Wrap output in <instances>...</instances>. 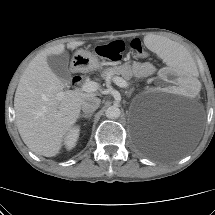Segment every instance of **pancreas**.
Wrapping results in <instances>:
<instances>
[{"mask_svg": "<svg viewBox=\"0 0 215 215\" xmlns=\"http://www.w3.org/2000/svg\"><path fill=\"white\" fill-rule=\"evenodd\" d=\"M121 75L125 80H130L133 76V69L129 63H125L120 66L110 67L105 69L101 76L103 78H107L112 75Z\"/></svg>", "mask_w": 215, "mask_h": 215, "instance_id": "pancreas-1", "label": "pancreas"}]
</instances>
